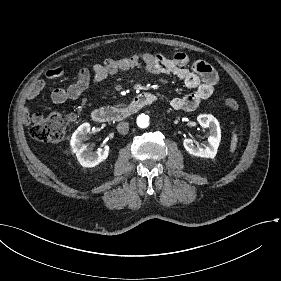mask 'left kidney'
<instances>
[{
	"mask_svg": "<svg viewBox=\"0 0 281 281\" xmlns=\"http://www.w3.org/2000/svg\"><path fill=\"white\" fill-rule=\"evenodd\" d=\"M197 123L200 127L209 129L210 136L208 137V144L204 148H201L199 146H195L191 138H184L183 145L186 151L193 156L213 159L217 154L219 142L221 139L219 123L211 115L198 116Z\"/></svg>",
	"mask_w": 281,
	"mask_h": 281,
	"instance_id": "5707ae66",
	"label": "left kidney"
}]
</instances>
